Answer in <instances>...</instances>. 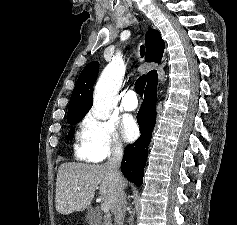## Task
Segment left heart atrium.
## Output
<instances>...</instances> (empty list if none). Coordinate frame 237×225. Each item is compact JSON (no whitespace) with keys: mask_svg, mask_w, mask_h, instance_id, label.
I'll return each instance as SVG.
<instances>
[{"mask_svg":"<svg viewBox=\"0 0 237 225\" xmlns=\"http://www.w3.org/2000/svg\"><path fill=\"white\" fill-rule=\"evenodd\" d=\"M121 131L126 141H133L139 134V128L131 117H124L121 121Z\"/></svg>","mask_w":237,"mask_h":225,"instance_id":"obj_1","label":"left heart atrium"}]
</instances>
